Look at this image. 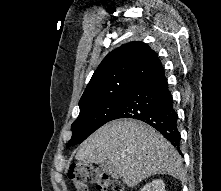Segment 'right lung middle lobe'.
Segmentation results:
<instances>
[{"mask_svg": "<svg viewBox=\"0 0 221 191\" xmlns=\"http://www.w3.org/2000/svg\"><path fill=\"white\" fill-rule=\"evenodd\" d=\"M126 95L123 94L80 108V114L71 126L72 137L67 147L83 142L102 125L111 121Z\"/></svg>", "mask_w": 221, "mask_h": 191, "instance_id": "obj_1", "label": "right lung middle lobe"}]
</instances>
